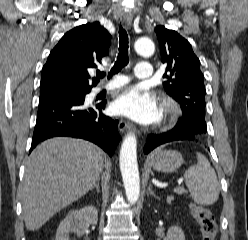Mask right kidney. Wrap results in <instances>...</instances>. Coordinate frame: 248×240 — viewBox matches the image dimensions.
I'll list each match as a JSON object with an SVG mask.
<instances>
[{"mask_svg":"<svg viewBox=\"0 0 248 240\" xmlns=\"http://www.w3.org/2000/svg\"><path fill=\"white\" fill-rule=\"evenodd\" d=\"M98 211L94 206H87L71 212L61 221L55 240H69L70 233L84 234L87 225L96 224Z\"/></svg>","mask_w":248,"mask_h":240,"instance_id":"1","label":"right kidney"}]
</instances>
